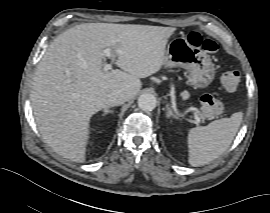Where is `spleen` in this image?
Wrapping results in <instances>:
<instances>
[{
	"label": "spleen",
	"mask_w": 270,
	"mask_h": 213,
	"mask_svg": "<svg viewBox=\"0 0 270 213\" xmlns=\"http://www.w3.org/2000/svg\"><path fill=\"white\" fill-rule=\"evenodd\" d=\"M242 118V112H237L207 126L190 129L187 137L189 164L202 166L222 155L238 132Z\"/></svg>",
	"instance_id": "1"
}]
</instances>
